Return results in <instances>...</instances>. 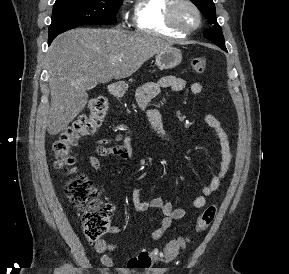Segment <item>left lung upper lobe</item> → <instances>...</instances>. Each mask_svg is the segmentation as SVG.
<instances>
[{"label": "left lung upper lobe", "mask_w": 289, "mask_h": 274, "mask_svg": "<svg viewBox=\"0 0 289 274\" xmlns=\"http://www.w3.org/2000/svg\"><path fill=\"white\" fill-rule=\"evenodd\" d=\"M192 3L200 10L203 16L209 21L211 27L207 28L203 35L206 39L215 43L218 47L225 50V41L222 29L217 23L215 5L213 0H191Z\"/></svg>", "instance_id": "1"}]
</instances>
